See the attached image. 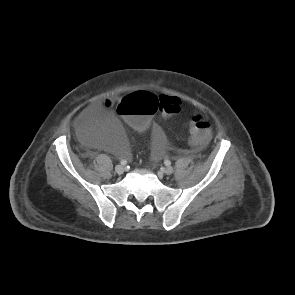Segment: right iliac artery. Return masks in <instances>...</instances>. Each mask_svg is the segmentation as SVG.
Wrapping results in <instances>:
<instances>
[{"label":"right iliac artery","mask_w":295,"mask_h":295,"mask_svg":"<svg viewBox=\"0 0 295 295\" xmlns=\"http://www.w3.org/2000/svg\"><path fill=\"white\" fill-rule=\"evenodd\" d=\"M120 163H121V165H125L127 163V161L123 159V160H121Z\"/></svg>","instance_id":"right-iliac-artery-1"}]
</instances>
